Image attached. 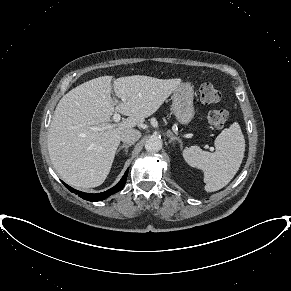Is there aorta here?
Segmentation results:
<instances>
[{
	"instance_id": "obj_1",
	"label": "aorta",
	"mask_w": 291,
	"mask_h": 291,
	"mask_svg": "<svg viewBox=\"0 0 291 291\" xmlns=\"http://www.w3.org/2000/svg\"><path fill=\"white\" fill-rule=\"evenodd\" d=\"M162 148V140L158 137H151L145 143L147 152H158Z\"/></svg>"
}]
</instances>
